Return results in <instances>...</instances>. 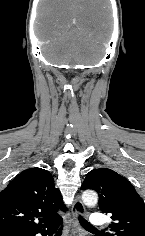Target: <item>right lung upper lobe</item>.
<instances>
[{
    "mask_svg": "<svg viewBox=\"0 0 145 236\" xmlns=\"http://www.w3.org/2000/svg\"><path fill=\"white\" fill-rule=\"evenodd\" d=\"M65 209L51 173L27 169L0 192V236L37 231L61 219L57 211Z\"/></svg>",
    "mask_w": 145,
    "mask_h": 236,
    "instance_id": "right-lung-upper-lobe-1",
    "label": "right lung upper lobe"
}]
</instances>
